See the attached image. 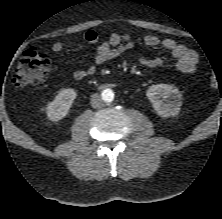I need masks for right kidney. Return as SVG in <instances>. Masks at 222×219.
I'll return each mask as SVG.
<instances>
[{"instance_id":"ca27d5eb","label":"right kidney","mask_w":222,"mask_h":219,"mask_svg":"<svg viewBox=\"0 0 222 219\" xmlns=\"http://www.w3.org/2000/svg\"><path fill=\"white\" fill-rule=\"evenodd\" d=\"M77 93L74 89L64 88L59 91L54 100L46 107V113L51 121H59L64 118L76 98Z\"/></svg>"}]
</instances>
